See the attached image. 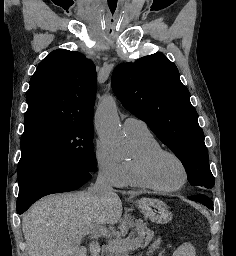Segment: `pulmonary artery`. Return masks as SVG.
Masks as SVG:
<instances>
[{
    "mask_svg": "<svg viewBox=\"0 0 236 256\" xmlns=\"http://www.w3.org/2000/svg\"><path fill=\"white\" fill-rule=\"evenodd\" d=\"M123 128L129 136L149 134V128L142 120L136 117H128L123 122Z\"/></svg>",
    "mask_w": 236,
    "mask_h": 256,
    "instance_id": "pulmonary-artery-1",
    "label": "pulmonary artery"
}]
</instances>
